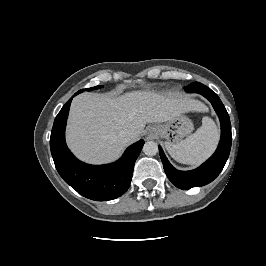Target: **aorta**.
I'll return each mask as SVG.
<instances>
[{
  "label": "aorta",
  "mask_w": 266,
  "mask_h": 266,
  "mask_svg": "<svg viewBox=\"0 0 266 266\" xmlns=\"http://www.w3.org/2000/svg\"><path fill=\"white\" fill-rule=\"evenodd\" d=\"M143 152L147 156H154L158 153V144L154 141H147L143 146Z\"/></svg>",
  "instance_id": "obj_1"
}]
</instances>
